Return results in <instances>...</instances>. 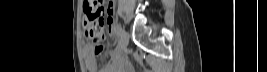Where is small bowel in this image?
<instances>
[{
	"label": "small bowel",
	"instance_id": "small-bowel-1",
	"mask_svg": "<svg viewBox=\"0 0 267 72\" xmlns=\"http://www.w3.org/2000/svg\"><path fill=\"white\" fill-rule=\"evenodd\" d=\"M113 4H109L107 8V22L110 24L111 22V15L113 13ZM96 52L94 51V46L87 44L84 47V59L87 69L90 72H113L114 68L108 65H99L96 60ZM112 57L117 59L119 58L118 52H112Z\"/></svg>",
	"mask_w": 267,
	"mask_h": 72
}]
</instances>
